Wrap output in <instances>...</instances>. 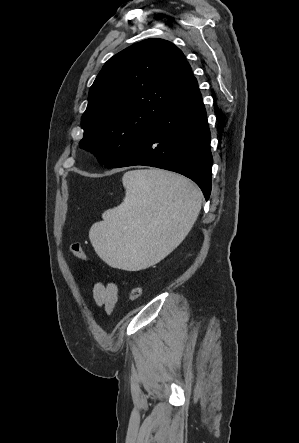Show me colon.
I'll use <instances>...</instances> for the list:
<instances>
[{
  "mask_svg": "<svg viewBox=\"0 0 299 443\" xmlns=\"http://www.w3.org/2000/svg\"><path fill=\"white\" fill-rule=\"evenodd\" d=\"M70 250L74 256L81 260H88L87 254L83 250L82 246L78 242H73L70 246ZM142 294V289L139 286H134L129 294V298L131 301H137Z\"/></svg>",
  "mask_w": 299,
  "mask_h": 443,
  "instance_id": "colon-1",
  "label": "colon"
}]
</instances>
